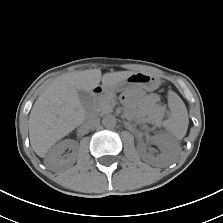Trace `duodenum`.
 <instances>
[{"instance_id": "duodenum-1", "label": "duodenum", "mask_w": 223, "mask_h": 223, "mask_svg": "<svg viewBox=\"0 0 223 223\" xmlns=\"http://www.w3.org/2000/svg\"><path fill=\"white\" fill-rule=\"evenodd\" d=\"M103 92H104V88H103L102 86H100V85L96 86V87L93 89V94H94L95 96H100V95L103 94Z\"/></svg>"}]
</instances>
